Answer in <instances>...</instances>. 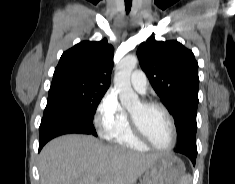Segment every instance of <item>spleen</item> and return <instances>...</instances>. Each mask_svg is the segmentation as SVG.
<instances>
[{
    "instance_id": "obj_1",
    "label": "spleen",
    "mask_w": 235,
    "mask_h": 184,
    "mask_svg": "<svg viewBox=\"0 0 235 184\" xmlns=\"http://www.w3.org/2000/svg\"><path fill=\"white\" fill-rule=\"evenodd\" d=\"M192 180L189 178V176H185L182 180V184H191Z\"/></svg>"
}]
</instances>
